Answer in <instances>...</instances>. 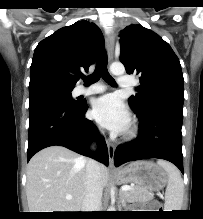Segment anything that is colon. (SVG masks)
<instances>
[{
    "label": "colon",
    "mask_w": 203,
    "mask_h": 219,
    "mask_svg": "<svg viewBox=\"0 0 203 219\" xmlns=\"http://www.w3.org/2000/svg\"><path fill=\"white\" fill-rule=\"evenodd\" d=\"M150 207L153 208L156 211H159L161 209V203L157 200H154V201L151 202Z\"/></svg>",
    "instance_id": "1"
}]
</instances>
